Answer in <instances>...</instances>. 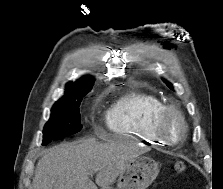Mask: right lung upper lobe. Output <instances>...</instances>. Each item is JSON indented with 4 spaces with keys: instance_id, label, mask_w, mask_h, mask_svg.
<instances>
[{
    "instance_id": "right-lung-upper-lobe-1",
    "label": "right lung upper lobe",
    "mask_w": 223,
    "mask_h": 189,
    "mask_svg": "<svg viewBox=\"0 0 223 189\" xmlns=\"http://www.w3.org/2000/svg\"><path fill=\"white\" fill-rule=\"evenodd\" d=\"M94 80L89 77H83L76 82H69L66 85V93L64 97L66 96H72L74 94H78L81 92L89 91L91 86L93 85Z\"/></svg>"
}]
</instances>
